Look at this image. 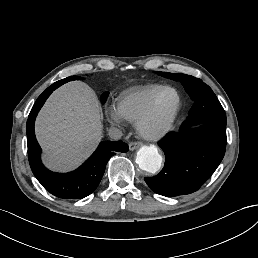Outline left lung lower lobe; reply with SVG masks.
<instances>
[{"mask_svg":"<svg viewBox=\"0 0 258 258\" xmlns=\"http://www.w3.org/2000/svg\"><path fill=\"white\" fill-rule=\"evenodd\" d=\"M226 142V126L214 123H199L171 132L158 143L165 153L163 169L144 180L151 190L163 196L193 193L219 166Z\"/></svg>","mask_w":258,"mask_h":258,"instance_id":"obj_1","label":"left lung lower lobe"}]
</instances>
